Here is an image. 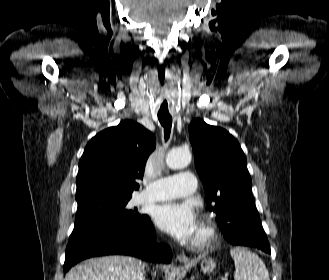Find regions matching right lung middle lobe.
Listing matches in <instances>:
<instances>
[{
  "mask_svg": "<svg viewBox=\"0 0 329 280\" xmlns=\"http://www.w3.org/2000/svg\"><path fill=\"white\" fill-rule=\"evenodd\" d=\"M131 197H114L108 195H91L76 199L78 203L74 229L97 220H106L137 229L149 217L139 214L137 209L127 206Z\"/></svg>",
  "mask_w": 329,
  "mask_h": 280,
  "instance_id": "obj_1",
  "label": "right lung middle lobe"
}]
</instances>
